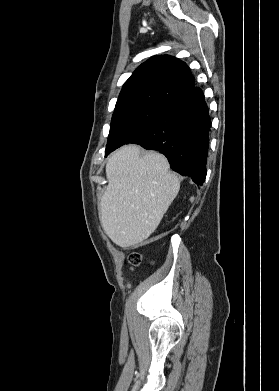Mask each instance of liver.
Instances as JSON below:
<instances>
[{"instance_id":"1","label":"liver","mask_w":279,"mask_h":391,"mask_svg":"<svg viewBox=\"0 0 279 391\" xmlns=\"http://www.w3.org/2000/svg\"><path fill=\"white\" fill-rule=\"evenodd\" d=\"M108 186L100 202V221L122 248L146 240L158 227L180 189L166 157L137 145L114 152L106 164Z\"/></svg>"}]
</instances>
